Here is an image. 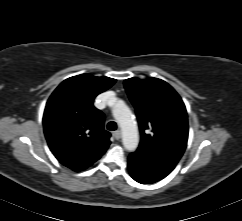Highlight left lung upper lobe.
<instances>
[{
	"instance_id": "left-lung-upper-lobe-1",
	"label": "left lung upper lobe",
	"mask_w": 242,
	"mask_h": 221,
	"mask_svg": "<svg viewBox=\"0 0 242 221\" xmlns=\"http://www.w3.org/2000/svg\"><path fill=\"white\" fill-rule=\"evenodd\" d=\"M124 86L138 117L141 141L137 150L176 165L188 139L182 99L168 83L157 78H130Z\"/></svg>"
}]
</instances>
